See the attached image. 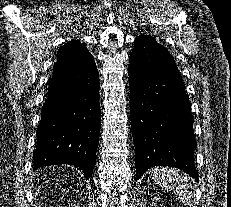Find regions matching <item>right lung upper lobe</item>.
Wrapping results in <instances>:
<instances>
[{
    "label": "right lung upper lobe",
    "mask_w": 231,
    "mask_h": 207,
    "mask_svg": "<svg viewBox=\"0 0 231 207\" xmlns=\"http://www.w3.org/2000/svg\"><path fill=\"white\" fill-rule=\"evenodd\" d=\"M92 55L84 44L79 41H70L64 44L57 52V62L55 65L64 70L70 71L80 66L88 57Z\"/></svg>",
    "instance_id": "cb5924a9"
}]
</instances>
